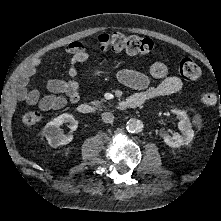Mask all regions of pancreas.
I'll return each instance as SVG.
<instances>
[{"label": "pancreas", "mask_w": 221, "mask_h": 221, "mask_svg": "<svg viewBox=\"0 0 221 221\" xmlns=\"http://www.w3.org/2000/svg\"><path fill=\"white\" fill-rule=\"evenodd\" d=\"M104 100L99 101V100H93L91 104L95 107V109H101L102 108V103Z\"/></svg>", "instance_id": "1"}]
</instances>
